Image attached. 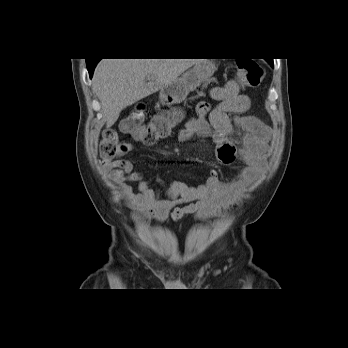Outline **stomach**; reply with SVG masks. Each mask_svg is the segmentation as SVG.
<instances>
[{
	"label": "stomach",
	"mask_w": 348,
	"mask_h": 348,
	"mask_svg": "<svg viewBox=\"0 0 348 348\" xmlns=\"http://www.w3.org/2000/svg\"><path fill=\"white\" fill-rule=\"evenodd\" d=\"M215 64L210 60H201L184 72L179 78L165 85L159 93L162 104L173 105L182 102L190 91L206 82L215 72Z\"/></svg>",
	"instance_id": "1"
}]
</instances>
